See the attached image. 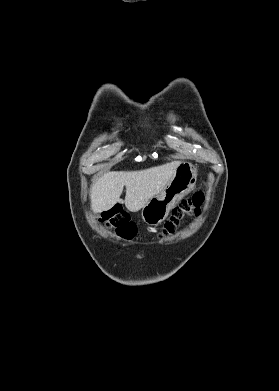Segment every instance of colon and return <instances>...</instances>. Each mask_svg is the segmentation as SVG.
Listing matches in <instances>:
<instances>
[{
    "label": "colon",
    "instance_id": "1",
    "mask_svg": "<svg viewBox=\"0 0 279 391\" xmlns=\"http://www.w3.org/2000/svg\"><path fill=\"white\" fill-rule=\"evenodd\" d=\"M204 201L201 192L195 193L189 199L183 200L173 210L170 218L166 221L160 236L172 234L179 224L191 214H198ZM107 228L113 229L116 234L123 239H131L136 235L137 229L135 224L130 220L128 214L118 207L104 212L100 219Z\"/></svg>",
    "mask_w": 279,
    "mask_h": 391
}]
</instances>
